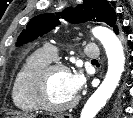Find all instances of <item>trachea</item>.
<instances>
[{
    "instance_id": "obj_1",
    "label": "trachea",
    "mask_w": 133,
    "mask_h": 118,
    "mask_svg": "<svg viewBox=\"0 0 133 118\" xmlns=\"http://www.w3.org/2000/svg\"><path fill=\"white\" fill-rule=\"evenodd\" d=\"M92 62H97V60H92Z\"/></svg>"
}]
</instances>
